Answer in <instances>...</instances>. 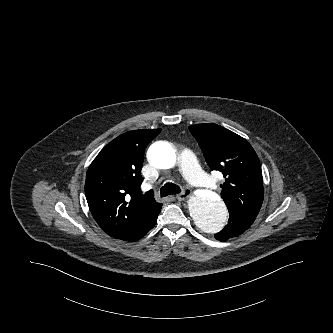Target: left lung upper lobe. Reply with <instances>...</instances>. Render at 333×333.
I'll return each instance as SVG.
<instances>
[{
    "label": "left lung upper lobe",
    "mask_w": 333,
    "mask_h": 333,
    "mask_svg": "<svg viewBox=\"0 0 333 333\" xmlns=\"http://www.w3.org/2000/svg\"><path fill=\"white\" fill-rule=\"evenodd\" d=\"M212 170L226 178L221 197L229 214L255 220L261 208L264 189L260 161L252 146L242 137L213 124L189 126Z\"/></svg>",
    "instance_id": "1"
}]
</instances>
